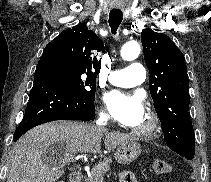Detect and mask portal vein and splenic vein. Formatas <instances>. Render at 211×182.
<instances>
[{"instance_id": "18ae733b", "label": "portal vein and splenic vein", "mask_w": 211, "mask_h": 182, "mask_svg": "<svg viewBox=\"0 0 211 182\" xmlns=\"http://www.w3.org/2000/svg\"><path fill=\"white\" fill-rule=\"evenodd\" d=\"M64 160H65L66 162H68V161H75V158H74V156H73L72 154L67 153V154L65 155V157H64Z\"/></svg>"}]
</instances>
